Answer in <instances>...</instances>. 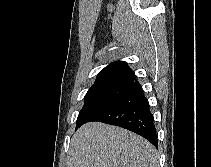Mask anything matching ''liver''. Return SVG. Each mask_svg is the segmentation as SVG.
Returning a JSON list of instances; mask_svg holds the SVG:
<instances>
[{
  "mask_svg": "<svg viewBox=\"0 0 211 167\" xmlns=\"http://www.w3.org/2000/svg\"><path fill=\"white\" fill-rule=\"evenodd\" d=\"M158 159L155 147L141 136L90 122L73 135L67 167H158Z\"/></svg>",
  "mask_w": 211,
  "mask_h": 167,
  "instance_id": "liver-1",
  "label": "liver"
}]
</instances>
